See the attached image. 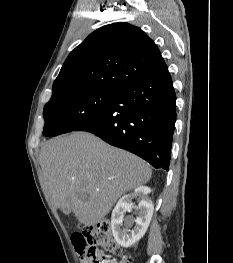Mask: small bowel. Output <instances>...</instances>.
I'll list each match as a JSON object with an SVG mask.
<instances>
[{
  "label": "small bowel",
  "instance_id": "c3829d8e",
  "mask_svg": "<svg viewBox=\"0 0 233 263\" xmlns=\"http://www.w3.org/2000/svg\"><path fill=\"white\" fill-rule=\"evenodd\" d=\"M107 263H118V262H117V259H116V258H114V257H112V256H109V257H108V260H107Z\"/></svg>",
  "mask_w": 233,
  "mask_h": 263
}]
</instances>
